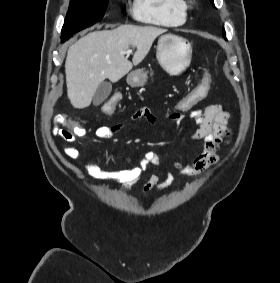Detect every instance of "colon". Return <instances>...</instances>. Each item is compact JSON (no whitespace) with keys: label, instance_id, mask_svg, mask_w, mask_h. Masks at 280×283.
Segmentation results:
<instances>
[{"label":"colon","instance_id":"obj_1","mask_svg":"<svg viewBox=\"0 0 280 283\" xmlns=\"http://www.w3.org/2000/svg\"><path fill=\"white\" fill-rule=\"evenodd\" d=\"M210 74L206 73L203 79H200L198 84L191 87L187 94L176 100L174 107H168V112H190L191 108L199 105L200 102H205L207 95H211V82L209 80ZM122 99V94H111V99H106L103 112L104 116H117L116 108H118V100ZM55 123L59 126L57 136L65 141L71 143L77 134L81 133V128L73 122L67 121L60 115L55 116Z\"/></svg>","mask_w":280,"mask_h":283}]
</instances>
